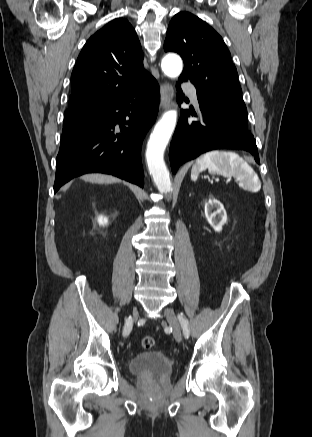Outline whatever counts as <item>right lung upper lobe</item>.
Segmentation results:
<instances>
[{
	"label": "right lung upper lobe",
	"instance_id": "1",
	"mask_svg": "<svg viewBox=\"0 0 312 437\" xmlns=\"http://www.w3.org/2000/svg\"><path fill=\"white\" fill-rule=\"evenodd\" d=\"M143 56L131 24L121 18L109 22L78 56L66 112L95 111L138 85L149 74Z\"/></svg>",
	"mask_w": 312,
	"mask_h": 437
}]
</instances>
